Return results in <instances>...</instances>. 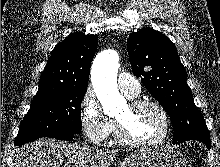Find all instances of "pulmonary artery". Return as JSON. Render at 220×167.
Returning <instances> with one entry per match:
<instances>
[{
	"label": "pulmonary artery",
	"mask_w": 220,
	"mask_h": 167,
	"mask_svg": "<svg viewBox=\"0 0 220 167\" xmlns=\"http://www.w3.org/2000/svg\"><path fill=\"white\" fill-rule=\"evenodd\" d=\"M117 82L121 92L129 98L136 97L140 93L141 88L138 80L128 73H119Z\"/></svg>",
	"instance_id": "pulmonary-artery-1"
}]
</instances>
